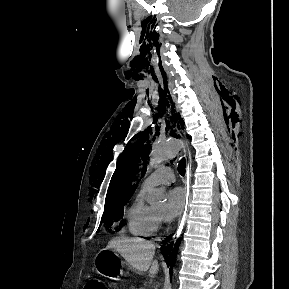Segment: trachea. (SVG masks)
Wrapping results in <instances>:
<instances>
[{
	"label": "trachea",
	"mask_w": 289,
	"mask_h": 289,
	"mask_svg": "<svg viewBox=\"0 0 289 289\" xmlns=\"http://www.w3.org/2000/svg\"><path fill=\"white\" fill-rule=\"evenodd\" d=\"M185 168H186V162H185V159L182 158L178 164V171H179L181 176L185 175Z\"/></svg>",
	"instance_id": "obj_1"
}]
</instances>
